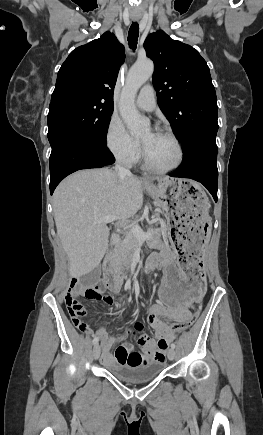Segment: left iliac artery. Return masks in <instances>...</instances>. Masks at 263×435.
<instances>
[{
  "mask_svg": "<svg viewBox=\"0 0 263 435\" xmlns=\"http://www.w3.org/2000/svg\"><path fill=\"white\" fill-rule=\"evenodd\" d=\"M175 347H176L175 343H172V344H171V348L174 349Z\"/></svg>",
  "mask_w": 263,
  "mask_h": 435,
  "instance_id": "44dca946",
  "label": "left iliac artery"
}]
</instances>
